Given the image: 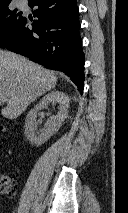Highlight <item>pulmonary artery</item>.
I'll use <instances>...</instances> for the list:
<instances>
[{"mask_svg":"<svg viewBox=\"0 0 128 213\" xmlns=\"http://www.w3.org/2000/svg\"><path fill=\"white\" fill-rule=\"evenodd\" d=\"M18 5L20 8H26L27 7V1L26 0H19Z\"/></svg>","mask_w":128,"mask_h":213,"instance_id":"pulmonary-artery-1","label":"pulmonary artery"}]
</instances>
